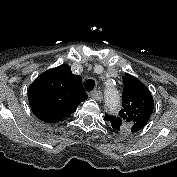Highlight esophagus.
Here are the masks:
<instances>
[{"mask_svg":"<svg viewBox=\"0 0 177 177\" xmlns=\"http://www.w3.org/2000/svg\"><path fill=\"white\" fill-rule=\"evenodd\" d=\"M90 97L97 100V101H102L103 95L100 91L95 90L90 94Z\"/></svg>","mask_w":177,"mask_h":177,"instance_id":"34e87169","label":"esophagus"}]
</instances>
